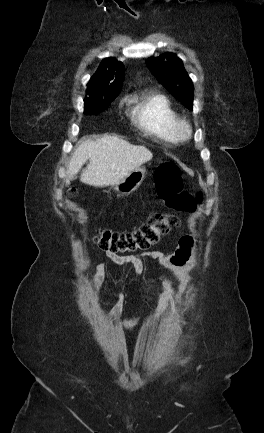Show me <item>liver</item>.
Wrapping results in <instances>:
<instances>
[{"label": "liver", "instance_id": "6515ba94", "mask_svg": "<svg viewBox=\"0 0 264 433\" xmlns=\"http://www.w3.org/2000/svg\"><path fill=\"white\" fill-rule=\"evenodd\" d=\"M89 164L80 181L94 187L117 184L130 172L152 159V153L144 146L132 145L116 135L99 139H85L74 150L67 167L68 180L74 179L83 164Z\"/></svg>", "mask_w": 264, "mask_h": 433}]
</instances>
